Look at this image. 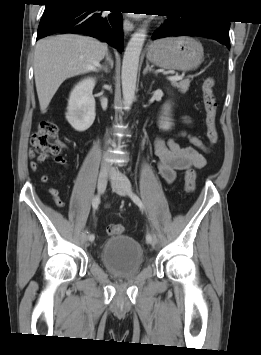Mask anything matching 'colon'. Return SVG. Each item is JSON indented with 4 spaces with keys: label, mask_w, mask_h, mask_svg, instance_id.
<instances>
[{
    "label": "colon",
    "mask_w": 261,
    "mask_h": 355,
    "mask_svg": "<svg viewBox=\"0 0 261 355\" xmlns=\"http://www.w3.org/2000/svg\"><path fill=\"white\" fill-rule=\"evenodd\" d=\"M213 78H207L202 86L203 103L205 111V124L207 129V138L211 146L218 141V131L216 127L217 101L214 94ZM31 146L40 158L57 156L64 144L59 138L57 127L51 122H42L31 137ZM185 189L187 192H193L196 186V172L194 169L186 170L184 174ZM125 231L122 224H112L108 227L109 235H121Z\"/></svg>",
    "instance_id": "1"
}]
</instances>
